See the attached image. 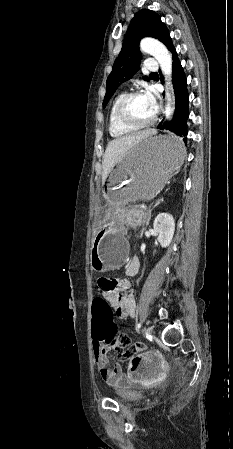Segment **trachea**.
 <instances>
[{"mask_svg":"<svg viewBox=\"0 0 233 449\" xmlns=\"http://www.w3.org/2000/svg\"><path fill=\"white\" fill-rule=\"evenodd\" d=\"M150 75H157V73H156V72H153V73H151Z\"/></svg>","mask_w":233,"mask_h":449,"instance_id":"1","label":"trachea"}]
</instances>
